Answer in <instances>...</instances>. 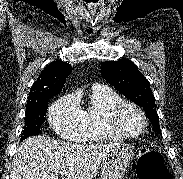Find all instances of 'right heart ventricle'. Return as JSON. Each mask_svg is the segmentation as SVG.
<instances>
[{
  "label": "right heart ventricle",
  "mask_w": 183,
  "mask_h": 179,
  "mask_svg": "<svg viewBox=\"0 0 183 179\" xmlns=\"http://www.w3.org/2000/svg\"><path fill=\"white\" fill-rule=\"evenodd\" d=\"M121 100V96L108 87H94L89 105L82 110L85 128L80 140L95 142L118 138L106 127L105 116L108 110Z\"/></svg>",
  "instance_id": "1"
}]
</instances>
